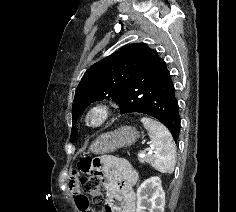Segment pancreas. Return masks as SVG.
<instances>
[{"instance_id":"cf45deb5","label":"pancreas","mask_w":236,"mask_h":212,"mask_svg":"<svg viewBox=\"0 0 236 212\" xmlns=\"http://www.w3.org/2000/svg\"><path fill=\"white\" fill-rule=\"evenodd\" d=\"M139 161L141 163H144V162L150 163L152 161V156L151 155H145L143 157H139Z\"/></svg>"}]
</instances>
